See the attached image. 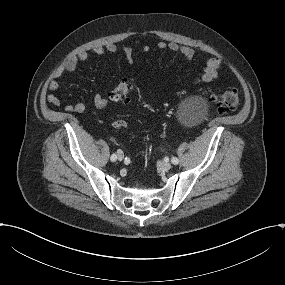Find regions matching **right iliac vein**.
Masks as SVG:
<instances>
[{"label": "right iliac vein", "mask_w": 285, "mask_h": 285, "mask_svg": "<svg viewBox=\"0 0 285 285\" xmlns=\"http://www.w3.org/2000/svg\"><path fill=\"white\" fill-rule=\"evenodd\" d=\"M123 158H124L123 152H122V151H118V152H117V159H118L119 161H122Z\"/></svg>", "instance_id": "1"}]
</instances>
